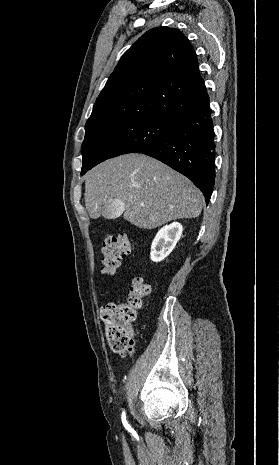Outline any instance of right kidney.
<instances>
[{
    "instance_id": "ca27d5eb",
    "label": "right kidney",
    "mask_w": 279,
    "mask_h": 465,
    "mask_svg": "<svg viewBox=\"0 0 279 465\" xmlns=\"http://www.w3.org/2000/svg\"><path fill=\"white\" fill-rule=\"evenodd\" d=\"M183 226L179 222H173L162 227L156 234L152 245L150 258L153 262L164 260L174 249L182 236Z\"/></svg>"
}]
</instances>
